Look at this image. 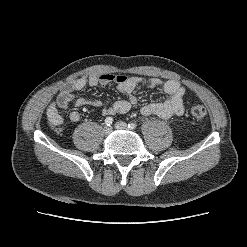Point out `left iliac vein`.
<instances>
[{
  "mask_svg": "<svg viewBox=\"0 0 247 247\" xmlns=\"http://www.w3.org/2000/svg\"><path fill=\"white\" fill-rule=\"evenodd\" d=\"M115 128L119 130H127L128 125L125 122L119 121L115 123Z\"/></svg>",
  "mask_w": 247,
  "mask_h": 247,
  "instance_id": "obj_1",
  "label": "left iliac vein"
}]
</instances>
